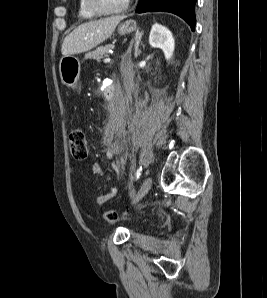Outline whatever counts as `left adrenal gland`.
<instances>
[{
	"label": "left adrenal gland",
	"mask_w": 267,
	"mask_h": 298,
	"mask_svg": "<svg viewBox=\"0 0 267 298\" xmlns=\"http://www.w3.org/2000/svg\"><path fill=\"white\" fill-rule=\"evenodd\" d=\"M142 35H143V32H139V31L136 32L134 39H132L129 44L126 55H128L129 57L131 56V51H132L134 42H135V58H137L140 55L141 51L139 50V45L141 42Z\"/></svg>",
	"instance_id": "obj_1"
}]
</instances>
